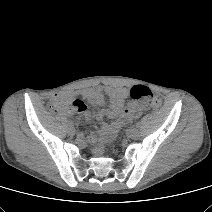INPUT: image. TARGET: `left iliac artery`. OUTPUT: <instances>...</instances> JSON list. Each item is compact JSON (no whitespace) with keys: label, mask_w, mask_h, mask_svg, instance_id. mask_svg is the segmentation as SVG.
<instances>
[{"label":"left iliac artery","mask_w":212,"mask_h":212,"mask_svg":"<svg viewBox=\"0 0 212 212\" xmlns=\"http://www.w3.org/2000/svg\"><path fill=\"white\" fill-rule=\"evenodd\" d=\"M135 126H136L137 128H139V127H140V122H137V123L135 124Z\"/></svg>","instance_id":"44dca946"}]
</instances>
